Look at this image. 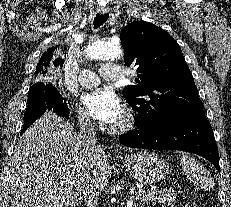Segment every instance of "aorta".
<instances>
[{"mask_svg": "<svg viewBox=\"0 0 231 207\" xmlns=\"http://www.w3.org/2000/svg\"><path fill=\"white\" fill-rule=\"evenodd\" d=\"M86 54L91 59L114 60L120 58L123 51L117 44L97 40L87 47Z\"/></svg>", "mask_w": 231, "mask_h": 207, "instance_id": "aorta-1", "label": "aorta"}]
</instances>
